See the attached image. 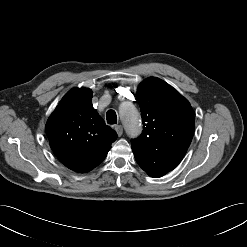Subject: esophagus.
<instances>
[{"instance_id":"esophagus-1","label":"esophagus","mask_w":247,"mask_h":247,"mask_svg":"<svg viewBox=\"0 0 247 247\" xmlns=\"http://www.w3.org/2000/svg\"><path fill=\"white\" fill-rule=\"evenodd\" d=\"M114 129L119 137L123 134V127L121 125H115Z\"/></svg>"}]
</instances>
